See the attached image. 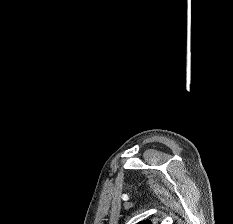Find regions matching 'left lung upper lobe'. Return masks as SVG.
<instances>
[{
    "label": "left lung upper lobe",
    "instance_id": "1",
    "mask_svg": "<svg viewBox=\"0 0 233 224\" xmlns=\"http://www.w3.org/2000/svg\"><path fill=\"white\" fill-rule=\"evenodd\" d=\"M138 224H152V222L149 220H145V221L139 222Z\"/></svg>",
    "mask_w": 233,
    "mask_h": 224
}]
</instances>
